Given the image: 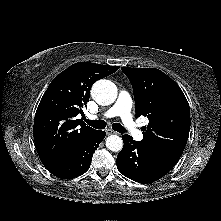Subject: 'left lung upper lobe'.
I'll return each instance as SVG.
<instances>
[{"label":"left lung upper lobe","instance_id":"5c2ea615","mask_svg":"<svg viewBox=\"0 0 221 221\" xmlns=\"http://www.w3.org/2000/svg\"><path fill=\"white\" fill-rule=\"evenodd\" d=\"M121 69L133 87L135 117L143 115L149 119L140 143L177 163L191 123L185 95L169 76L156 68Z\"/></svg>","mask_w":221,"mask_h":221}]
</instances>
